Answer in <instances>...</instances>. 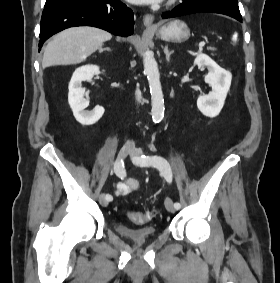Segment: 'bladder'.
Segmentation results:
<instances>
[{
  "mask_svg": "<svg viewBox=\"0 0 280 283\" xmlns=\"http://www.w3.org/2000/svg\"><path fill=\"white\" fill-rule=\"evenodd\" d=\"M115 232L134 242H144L150 240L156 235V228L153 225H144L137 228H131L121 222L114 225Z\"/></svg>",
  "mask_w": 280,
  "mask_h": 283,
  "instance_id": "1",
  "label": "bladder"
}]
</instances>
